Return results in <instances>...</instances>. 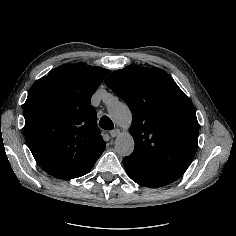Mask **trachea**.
Returning a JSON list of instances; mask_svg holds the SVG:
<instances>
[{"mask_svg":"<svg viewBox=\"0 0 236 236\" xmlns=\"http://www.w3.org/2000/svg\"><path fill=\"white\" fill-rule=\"evenodd\" d=\"M99 125L105 130H112L114 128V124L108 116H103L99 121Z\"/></svg>","mask_w":236,"mask_h":236,"instance_id":"3493384b","label":"trachea"}]
</instances>
